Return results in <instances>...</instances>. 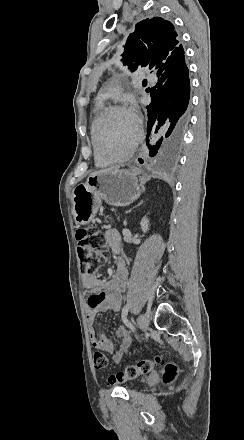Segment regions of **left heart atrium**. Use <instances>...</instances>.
<instances>
[{"instance_id":"1","label":"left heart atrium","mask_w":244,"mask_h":440,"mask_svg":"<svg viewBox=\"0 0 244 440\" xmlns=\"http://www.w3.org/2000/svg\"><path fill=\"white\" fill-rule=\"evenodd\" d=\"M126 112L128 114L129 121L134 128V137H137L139 135V126L141 123V112L138 106L135 104H132Z\"/></svg>"}]
</instances>
